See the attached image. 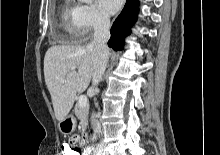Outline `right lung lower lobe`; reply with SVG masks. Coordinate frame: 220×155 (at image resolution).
<instances>
[{
    "label": "right lung lower lobe",
    "mask_w": 220,
    "mask_h": 155,
    "mask_svg": "<svg viewBox=\"0 0 220 155\" xmlns=\"http://www.w3.org/2000/svg\"><path fill=\"white\" fill-rule=\"evenodd\" d=\"M138 1L126 0V4L120 15L114 21L111 32V38L108 46L114 50H122L124 47V39L131 33V27L135 23L138 15Z\"/></svg>",
    "instance_id": "1"
}]
</instances>
